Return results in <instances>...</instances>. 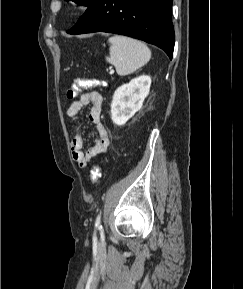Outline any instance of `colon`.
<instances>
[{"instance_id": "colon-1", "label": "colon", "mask_w": 243, "mask_h": 289, "mask_svg": "<svg viewBox=\"0 0 243 289\" xmlns=\"http://www.w3.org/2000/svg\"><path fill=\"white\" fill-rule=\"evenodd\" d=\"M98 84L96 80L93 79H87V78H76L73 83L70 85V87L67 89L66 95L68 99H73L83 89L94 87ZM101 176V169L99 166H95L92 168L90 172V180L92 184H95Z\"/></svg>"}]
</instances>
